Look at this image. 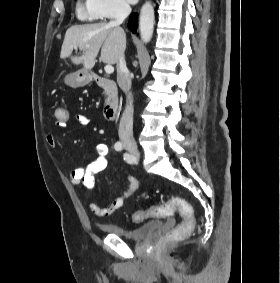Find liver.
<instances>
[{
    "instance_id": "1",
    "label": "liver",
    "mask_w": 280,
    "mask_h": 283,
    "mask_svg": "<svg viewBox=\"0 0 280 283\" xmlns=\"http://www.w3.org/2000/svg\"><path fill=\"white\" fill-rule=\"evenodd\" d=\"M79 47L82 54L72 56L73 49ZM126 48V34L120 27L110 23H95L70 27L62 44L60 58H70L75 65L81 64L84 69H92L101 49V61L117 64Z\"/></svg>"
}]
</instances>
